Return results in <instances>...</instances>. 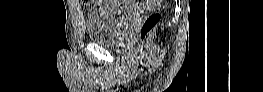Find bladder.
<instances>
[{"label":"bladder","mask_w":263,"mask_h":92,"mask_svg":"<svg viewBox=\"0 0 263 92\" xmlns=\"http://www.w3.org/2000/svg\"><path fill=\"white\" fill-rule=\"evenodd\" d=\"M109 6H99L86 17L85 27L91 41L115 45L131 29L138 13L132 9L115 6L116 1H105Z\"/></svg>","instance_id":"1"}]
</instances>
